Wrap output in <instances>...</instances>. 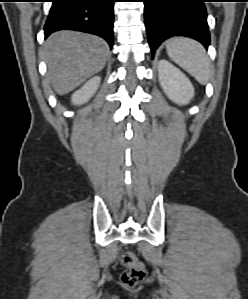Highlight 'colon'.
<instances>
[{"mask_svg": "<svg viewBox=\"0 0 248 299\" xmlns=\"http://www.w3.org/2000/svg\"><path fill=\"white\" fill-rule=\"evenodd\" d=\"M121 264L125 267L121 275V281L125 285L135 286L144 279V266L132 251H126L121 255Z\"/></svg>", "mask_w": 248, "mask_h": 299, "instance_id": "1", "label": "colon"}]
</instances>
